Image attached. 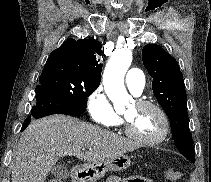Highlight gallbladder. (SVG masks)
Masks as SVG:
<instances>
[{"label":"gallbladder","instance_id":"gallbladder-1","mask_svg":"<svg viewBox=\"0 0 211 182\" xmlns=\"http://www.w3.org/2000/svg\"><path fill=\"white\" fill-rule=\"evenodd\" d=\"M52 174L58 178H64L67 175V169L61 165H55L51 170Z\"/></svg>","mask_w":211,"mask_h":182}]
</instances>
